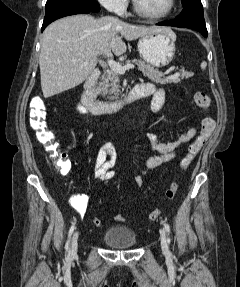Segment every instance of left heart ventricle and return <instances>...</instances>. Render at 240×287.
<instances>
[{
	"label": "left heart ventricle",
	"mask_w": 240,
	"mask_h": 287,
	"mask_svg": "<svg viewBox=\"0 0 240 287\" xmlns=\"http://www.w3.org/2000/svg\"><path fill=\"white\" fill-rule=\"evenodd\" d=\"M169 0H137L140 7L152 13L163 12L168 6Z\"/></svg>",
	"instance_id": "left-heart-ventricle-1"
}]
</instances>
